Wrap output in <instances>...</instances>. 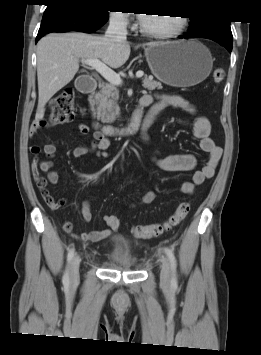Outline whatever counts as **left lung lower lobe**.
<instances>
[{
    "mask_svg": "<svg viewBox=\"0 0 261 355\" xmlns=\"http://www.w3.org/2000/svg\"><path fill=\"white\" fill-rule=\"evenodd\" d=\"M191 37H201V38H207L213 40L223 45L228 51H232L233 37H232L231 29L215 28V29H208L202 33L195 34V35L187 33L184 36H180V38H191Z\"/></svg>",
    "mask_w": 261,
    "mask_h": 355,
    "instance_id": "left-lung-lower-lobe-1",
    "label": "left lung lower lobe"
}]
</instances>
